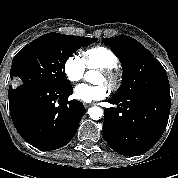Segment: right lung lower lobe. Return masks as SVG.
<instances>
[{"instance_id":"98d812e1","label":"right lung lower lobe","mask_w":178,"mask_h":178,"mask_svg":"<svg viewBox=\"0 0 178 178\" xmlns=\"http://www.w3.org/2000/svg\"><path fill=\"white\" fill-rule=\"evenodd\" d=\"M72 93L70 85L9 87L10 115L22 138L42 150H55L68 144L86 113L81 102L68 101Z\"/></svg>"}]
</instances>
